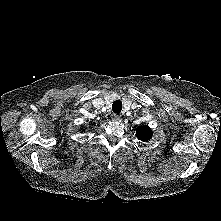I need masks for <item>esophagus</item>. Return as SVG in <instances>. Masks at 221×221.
Listing matches in <instances>:
<instances>
[{"label": "esophagus", "mask_w": 221, "mask_h": 221, "mask_svg": "<svg viewBox=\"0 0 221 221\" xmlns=\"http://www.w3.org/2000/svg\"><path fill=\"white\" fill-rule=\"evenodd\" d=\"M112 120H113V121H120V120H121V116L118 115V114H113V115H112Z\"/></svg>", "instance_id": "obj_1"}]
</instances>
